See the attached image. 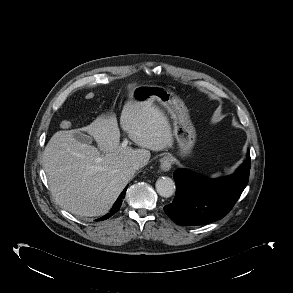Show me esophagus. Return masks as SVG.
Listing matches in <instances>:
<instances>
[{
	"mask_svg": "<svg viewBox=\"0 0 293 293\" xmlns=\"http://www.w3.org/2000/svg\"><path fill=\"white\" fill-rule=\"evenodd\" d=\"M172 166V159L169 156H164L160 159V169L162 171H169Z\"/></svg>",
	"mask_w": 293,
	"mask_h": 293,
	"instance_id": "obj_1",
	"label": "esophagus"
}]
</instances>
